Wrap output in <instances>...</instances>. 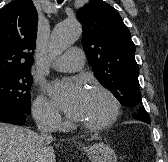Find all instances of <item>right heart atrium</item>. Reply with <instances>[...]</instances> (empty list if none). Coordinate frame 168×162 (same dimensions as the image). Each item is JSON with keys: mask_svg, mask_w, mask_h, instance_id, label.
<instances>
[{"mask_svg": "<svg viewBox=\"0 0 168 162\" xmlns=\"http://www.w3.org/2000/svg\"><path fill=\"white\" fill-rule=\"evenodd\" d=\"M32 113L36 122L45 128L56 130L62 126V118L55 105L39 95L32 105Z\"/></svg>", "mask_w": 168, "mask_h": 162, "instance_id": "obj_1", "label": "right heart atrium"}]
</instances>
